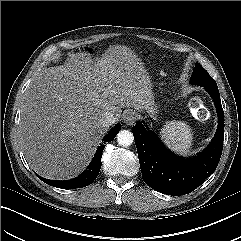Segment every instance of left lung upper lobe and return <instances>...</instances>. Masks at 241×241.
Wrapping results in <instances>:
<instances>
[{"label":"left lung upper lobe","instance_id":"5c2ea615","mask_svg":"<svg viewBox=\"0 0 241 241\" xmlns=\"http://www.w3.org/2000/svg\"><path fill=\"white\" fill-rule=\"evenodd\" d=\"M190 83L202 87H217L215 80L199 63L195 64V68L191 75Z\"/></svg>","mask_w":241,"mask_h":241}]
</instances>
